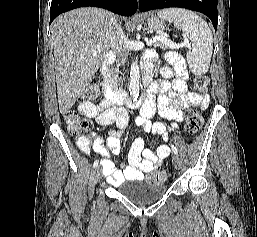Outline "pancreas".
Listing matches in <instances>:
<instances>
[{"instance_id": "obj_1", "label": "pancreas", "mask_w": 257, "mask_h": 237, "mask_svg": "<svg viewBox=\"0 0 257 237\" xmlns=\"http://www.w3.org/2000/svg\"><path fill=\"white\" fill-rule=\"evenodd\" d=\"M153 45H154V47H159V48H161V49H167V48L169 47L166 43L161 42V41H156V42H154ZM119 73H120L119 67H117V68L113 71V76L117 78Z\"/></svg>"}]
</instances>
